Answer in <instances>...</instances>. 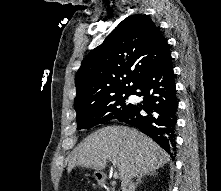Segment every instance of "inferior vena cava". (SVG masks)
Wrapping results in <instances>:
<instances>
[{
  "instance_id": "obj_1",
  "label": "inferior vena cava",
  "mask_w": 221,
  "mask_h": 191,
  "mask_svg": "<svg viewBox=\"0 0 221 191\" xmlns=\"http://www.w3.org/2000/svg\"><path fill=\"white\" fill-rule=\"evenodd\" d=\"M133 185H134V184H133L132 180L130 179V180L128 181L126 187L123 188L122 191H132V187H133Z\"/></svg>"
}]
</instances>
